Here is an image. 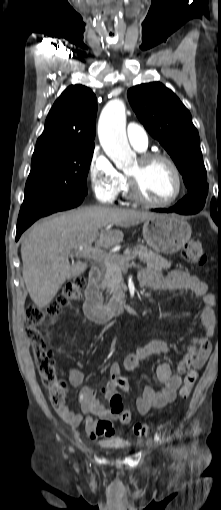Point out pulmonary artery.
<instances>
[{
	"mask_svg": "<svg viewBox=\"0 0 221 510\" xmlns=\"http://www.w3.org/2000/svg\"><path fill=\"white\" fill-rule=\"evenodd\" d=\"M127 137L130 144L138 151H143L148 146V134L145 129L137 123H129L127 126Z\"/></svg>",
	"mask_w": 221,
	"mask_h": 510,
	"instance_id": "e3ab8cb5",
	"label": "pulmonary artery"
}]
</instances>
